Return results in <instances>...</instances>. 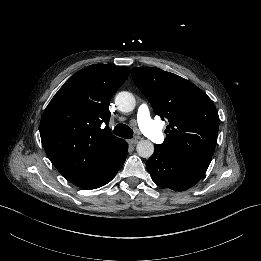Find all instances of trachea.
Here are the masks:
<instances>
[{"label": "trachea", "mask_w": 261, "mask_h": 261, "mask_svg": "<svg viewBox=\"0 0 261 261\" xmlns=\"http://www.w3.org/2000/svg\"><path fill=\"white\" fill-rule=\"evenodd\" d=\"M114 134L125 139H130L133 136V131L126 124L119 123L114 128Z\"/></svg>", "instance_id": "trachea-1"}]
</instances>
